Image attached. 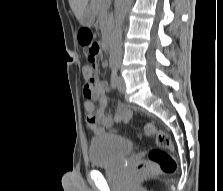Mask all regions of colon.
Listing matches in <instances>:
<instances>
[{"mask_svg": "<svg viewBox=\"0 0 223 191\" xmlns=\"http://www.w3.org/2000/svg\"><path fill=\"white\" fill-rule=\"evenodd\" d=\"M80 42L85 48L86 57L89 63L83 66V77L87 84L95 80V60L99 54V44L89 29L81 30ZM144 133L155 137L157 147L149 151L146 160L137 161L134 170L138 174H150L159 171L162 174H172L176 171L177 163L170 151L174 146L170 136L156 129L153 123L149 122L144 126Z\"/></svg>", "mask_w": 223, "mask_h": 191, "instance_id": "5ec220e1", "label": "colon"}]
</instances>
